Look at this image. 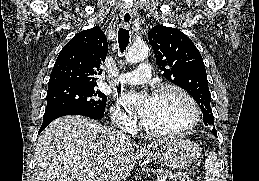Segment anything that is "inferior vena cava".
Here are the masks:
<instances>
[{"label":"inferior vena cava","instance_id":"obj_1","mask_svg":"<svg viewBox=\"0 0 259 181\" xmlns=\"http://www.w3.org/2000/svg\"><path fill=\"white\" fill-rule=\"evenodd\" d=\"M119 133L121 134V136L124 138V139H128V136L126 135V131L124 129L123 126H120V131ZM109 181H122V178L121 176L117 175V174H112L109 178Z\"/></svg>","mask_w":259,"mask_h":181}]
</instances>
